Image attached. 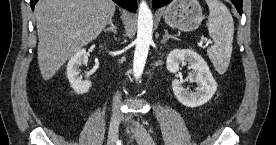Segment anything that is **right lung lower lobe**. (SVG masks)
Listing matches in <instances>:
<instances>
[{
  "instance_id": "right-lung-lower-lobe-1",
  "label": "right lung lower lobe",
  "mask_w": 276,
  "mask_h": 145,
  "mask_svg": "<svg viewBox=\"0 0 276 145\" xmlns=\"http://www.w3.org/2000/svg\"><path fill=\"white\" fill-rule=\"evenodd\" d=\"M38 0H31L30 5L32 10H34V6ZM115 3H117L120 7H123L125 9L129 10H136L137 9V2L136 0H113Z\"/></svg>"
}]
</instances>
